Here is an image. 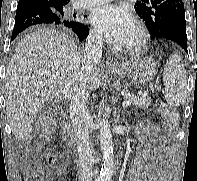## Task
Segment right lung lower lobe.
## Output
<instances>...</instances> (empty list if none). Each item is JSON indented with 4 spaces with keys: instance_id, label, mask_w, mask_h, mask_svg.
I'll use <instances>...</instances> for the list:
<instances>
[{
    "instance_id": "98d812e1",
    "label": "right lung lower lobe",
    "mask_w": 197,
    "mask_h": 181,
    "mask_svg": "<svg viewBox=\"0 0 197 181\" xmlns=\"http://www.w3.org/2000/svg\"><path fill=\"white\" fill-rule=\"evenodd\" d=\"M39 24L67 27L75 32L81 41L88 36L89 32L88 27L83 22L63 20L45 4L29 0H19L15 16V27L11 39L13 40L26 28Z\"/></svg>"
}]
</instances>
